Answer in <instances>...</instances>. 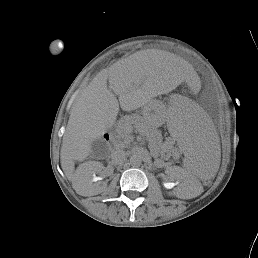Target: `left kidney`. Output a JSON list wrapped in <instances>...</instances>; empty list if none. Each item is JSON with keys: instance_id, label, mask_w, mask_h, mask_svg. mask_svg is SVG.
Here are the masks:
<instances>
[{"instance_id": "obj_1", "label": "left kidney", "mask_w": 258, "mask_h": 258, "mask_svg": "<svg viewBox=\"0 0 258 258\" xmlns=\"http://www.w3.org/2000/svg\"><path fill=\"white\" fill-rule=\"evenodd\" d=\"M181 179H184L182 176L180 177ZM173 186H177L176 191L174 192V195L177 196L178 198H189L193 197L195 195H192L189 191L188 188L184 187L183 185H179L178 182L176 183H169L168 187L172 188Z\"/></svg>"}]
</instances>
